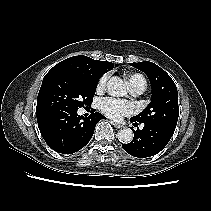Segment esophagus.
I'll return each instance as SVG.
<instances>
[{
    "instance_id": "esophagus-1",
    "label": "esophagus",
    "mask_w": 211,
    "mask_h": 211,
    "mask_svg": "<svg viewBox=\"0 0 211 211\" xmlns=\"http://www.w3.org/2000/svg\"><path fill=\"white\" fill-rule=\"evenodd\" d=\"M111 123H112V125H114L115 128H117V129L123 128V125H121V124H119V123H115V122H113V121H111Z\"/></svg>"
}]
</instances>
